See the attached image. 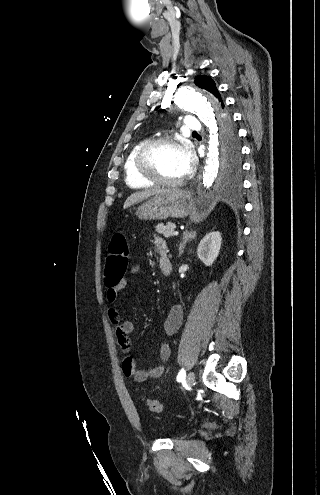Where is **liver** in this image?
Instances as JSON below:
<instances>
[{"label": "liver", "mask_w": 320, "mask_h": 495, "mask_svg": "<svg viewBox=\"0 0 320 495\" xmlns=\"http://www.w3.org/2000/svg\"><path fill=\"white\" fill-rule=\"evenodd\" d=\"M166 190H146V191H140V192H136V193H133L131 194L125 201L124 203V206L123 208L124 209H127L128 207L146 199V198H149L151 196H154V195H159L163 192H165Z\"/></svg>", "instance_id": "6515ba94"}]
</instances>
